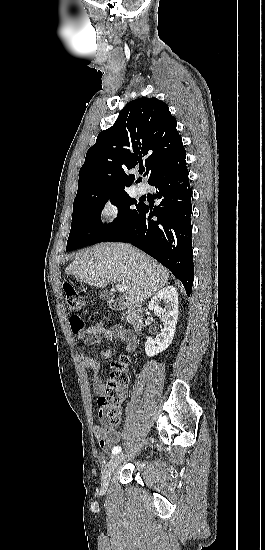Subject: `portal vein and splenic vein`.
<instances>
[{"label": "portal vein and splenic vein", "instance_id": "18ae733b", "mask_svg": "<svg viewBox=\"0 0 265 550\" xmlns=\"http://www.w3.org/2000/svg\"><path fill=\"white\" fill-rule=\"evenodd\" d=\"M116 289H117L118 292H120V293H123V292H125V290H126L125 286L122 285V284H120V283H117V284H116Z\"/></svg>", "mask_w": 265, "mask_h": 550}]
</instances>
